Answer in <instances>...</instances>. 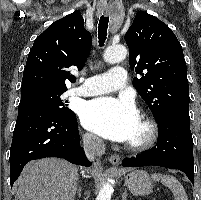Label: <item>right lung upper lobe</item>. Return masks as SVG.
<instances>
[{"label": "right lung upper lobe", "instance_id": "obj_1", "mask_svg": "<svg viewBox=\"0 0 201 200\" xmlns=\"http://www.w3.org/2000/svg\"><path fill=\"white\" fill-rule=\"evenodd\" d=\"M91 34L84 28L80 11L51 24L33 44L23 72L21 94L35 91H66L74 82L68 71L82 68L91 49Z\"/></svg>", "mask_w": 201, "mask_h": 200}]
</instances>
